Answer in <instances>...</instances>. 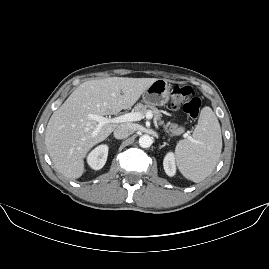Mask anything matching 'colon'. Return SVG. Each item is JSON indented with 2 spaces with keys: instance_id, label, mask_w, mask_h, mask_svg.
<instances>
[{
  "instance_id": "1",
  "label": "colon",
  "mask_w": 269,
  "mask_h": 269,
  "mask_svg": "<svg viewBox=\"0 0 269 269\" xmlns=\"http://www.w3.org/2000/svg\"><path fill=\"white\" fill-rule=\"evenodd\" d=\"M170 105L172 109L182 108L190 118L195 119L199 115L202 102L189 86L175 85L170 92Z\"/></svg>"
}]
</instances>
